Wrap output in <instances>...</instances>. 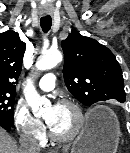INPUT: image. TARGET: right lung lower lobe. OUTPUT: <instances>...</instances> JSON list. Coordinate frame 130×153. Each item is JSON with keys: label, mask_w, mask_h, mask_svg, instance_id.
Segmentation results:
<instances>
[{"label": "right lung lower lobe", "mask_w": 130, "mask_h": 153, "mask_svg": "<svg viewBox=\"0 0 130 153\" xmlns=\"http://www.w3.org/2000/svg\"><path fill=\"white\" fill-rule=\"evenodd\" d=\"M0 127H3L7 131H10L13 125L8 124L6 121L0 119Z\"/></svg>", "instance_id": "right-lung-lower-lobe-1"}]
</instances>
